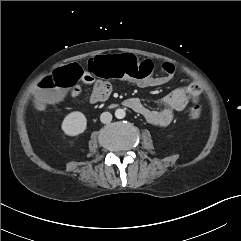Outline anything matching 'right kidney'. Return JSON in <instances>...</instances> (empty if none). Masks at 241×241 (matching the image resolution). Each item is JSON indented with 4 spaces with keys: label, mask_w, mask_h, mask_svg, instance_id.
<instances>
[{
    "label": "right kidney",
    "mask_w": 241,
    "mask_h": 241,
    "mask_svg": "<svg viewBox=\"0 0 241 241\" xmlns=\"http://www.w3.org/2000/svg\"><path fill=\"white\" fill-rule=\"evenodd\" d=\"M86 127L87 119L85 115L79 111L69 113L61 125L62 131L68 136H78L86 130Z\"/></svg>",
    "instance_id": "obj_1"
}]
</instances>
